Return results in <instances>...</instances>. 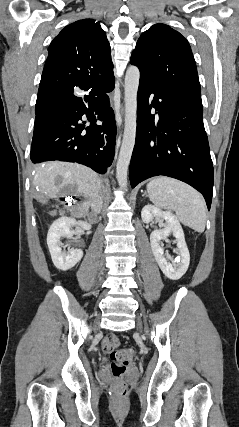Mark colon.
Here are the masks:
<instances>
[{
	"instance_id": "colon-1",
	"label": "colon",
	"mask_w": 239,
	"mask_h": 427,
	"mask_svg": "<svg viewBox=\"0 0 239 427\" xmlns=\"http://www.w3.org/2000/svg\"><path fill=\"white\" fill-rule=\"evenodd\" d=\"M134 348H122L114 350L110 354L111 372L114 377L113 395L122 399L127 393V383L124 376L133 362L135 356Z\"/></svg>"
}]
</instances>
